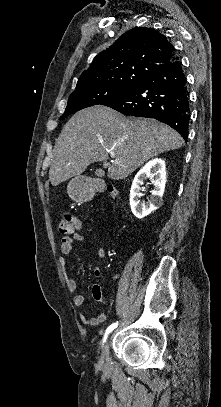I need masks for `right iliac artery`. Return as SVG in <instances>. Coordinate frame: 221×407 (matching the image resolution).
Wrapping results in <instances>:
<instances>
[{"mask_svg": "<svg viewBox=\"0 0 221 407\" xmlns=\"http://www.w3.org/2000/svg\"><path fill=\"white\" fill-rule=\"evenodd\" d=\"M117 326H118V322H117V323H113L112 325H110V326L107 328V330H106V332H105V335H104V338H103V343L106 341L108 334H109L110 332H112L115 328H117Z\"/></svg>", "mask_w": 221, "mask_h": 407, "instance_id": "82829eb1", "label": "right iliac artery"}]
</instances>
